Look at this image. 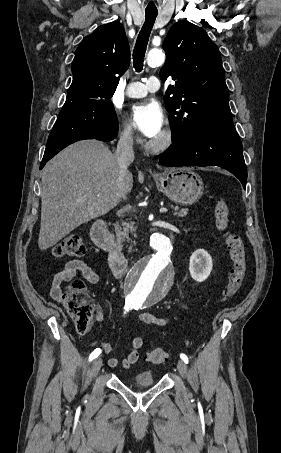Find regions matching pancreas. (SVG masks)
Returning <instances> with one entry per match:
<instances>
[{
  "mask_svg": "<svg viewBox=\"0 0 281 453\" xmlns=\"http://www.w3.org/2000/svg\"><path fill=\"white\" fill-rule=\"evenodd\" d=\"M175 210H178V208H175ZM174 214H178V216H186L187 214V208H181L179 212H174ZM135 222L133 220H129V222H116L114 224L115 231H116V237L117 239H121V241H131L130 239V233L133 235V237H137L136 235V227H134Z\"/></svg>",
  "mask_w": 281,
  "mask_h": 453,
  "instance_id": "cf45deb5",
  "label": "pancreas"
}]
</instances>
